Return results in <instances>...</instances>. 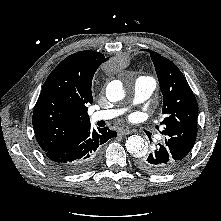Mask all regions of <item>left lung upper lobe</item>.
Listing matches in <instances>:
<instances>
[{"label": "left lung upper lobe", "instance_id": "obj_1", "mask_svg": "<svg viewBox=\"0 0 221 221\" xmlns=\"http://www.w3.org/2000/svg\"><path fill=\"white\" fill-rule=\"evenodd\" d=\"M149 52L163 94L162 113L165 118L161 122L164 126L161 134L177 161L182 163L196 140L198 104L178 67L160 54Z\"/></svg>", "mask_w": 221, "mask_h": 221}]
</instances>
